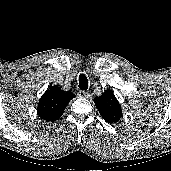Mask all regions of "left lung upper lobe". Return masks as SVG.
<instances>
[{"label":"left lung upper lobe","mask_w":171,"mask_h":171,"mask_svg":"<svg viewBox=\"0 0 171 171\" xmlns=\"http://www.w3.org/2000/svg\"><path fill=\"white\" fill-rule=\"evenodd\" d=\"M95 105L102 118L108 123H116L122 117L121 106L112 90H106L94 99Z\"/></svg>","instance_id":"5c2ea615"}]
</instances>
